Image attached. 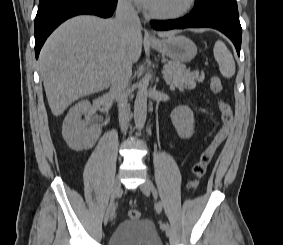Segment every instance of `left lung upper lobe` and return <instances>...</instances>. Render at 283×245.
<instances>
[{"label": "left lung upper lobe", "mask_w": 283, "mask_h": 245, "mask_svg": "<svg viewBox=\"0 0 283 245\" xmlns=\"http://www.w3.org/2000/svg\"><path fill=\"white\" fill-rule=\"evenodd\" d=\"M191 13L220 14L239 18L236 0H196Z\"/></svg>", "instance_id": "left-lung-upper-lobe-1"}]
</instances>
